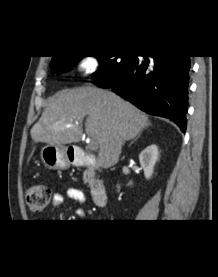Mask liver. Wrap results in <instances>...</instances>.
<instances>
[{
    "label": "liver",
    "mask_w": 218,
    "mask_h": 277,
    "mask_svg": "<svg viewBox=\"0 0 218 277\" xmlns=\"http://www.w3.org/2000/svg\"><path fill=\"white\" fill-rule=\"evenodd\" d=\"M86 116L85 131L98 144V164L103 168L115 165L124 143L151 125L145 114L116 94L79 87L56 94L32 127L31 137L51 146L79 142Z\"/></svg>",
    "instance_id": "1"
}]
</instances>
